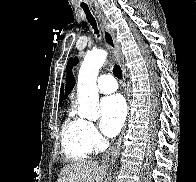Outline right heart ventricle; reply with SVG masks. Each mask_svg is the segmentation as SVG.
<instances>
[{
  "instance_id": "e07e8e85",
  "label": "right heart ventricle",
  "mask_w": 196,
  "mask_h": 182,
  "mask_svg": "<svg viewBox=\"0 0 196 182\" xmlns=\"http://www.w3.org/2000/svg\"><path fill=\"white\" fill-rule=\"evenodd\" d=\"M62 146L66 157L72 161L85 160L91 153L85 136V121L73 114L65 119L62 129Z\"/></svg>"
}]
</instances>
